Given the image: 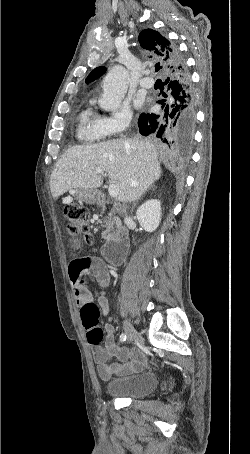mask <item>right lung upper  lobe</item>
Segmentation results:
<instances>
[{
	"label": "right lung upper lobe",
	"mask_w": 250,
	"mask_h": 454,
	"mask_svg": "<svg viewBox=\"0 0 250 454\" xmlns=\"http://www.w3.org/2000/svg\"><path fill=\"white\" fill-rule=\"evenodd\" d=\"M140 46L149 54V58L157 60L155 65L157 71L165 76L174 69L170 56V41L162 36L158 31L145 29L140 32L138 37ZM106 72L103 66L95 68L86 78V83H90Z\"/></svg>",
	"instance_id": "1"
}]
</instances>
